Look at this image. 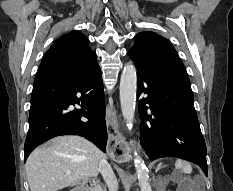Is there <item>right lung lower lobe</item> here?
Returning <instances> with one entry per match:
<instances>
[{
	"label": "right lung lower lobe",
	"instance_id": "right-lung-lower-lobe-1",
	"mask_svg": "<svg viewBox=\"0 0 233 191\" xmlns=\"http://www.w3.org/2000/svg\"><path fill=\"white\" fill-rule=\"evenodd\" d=\"M75 104L81 109L69 110ZM83 117L88 121L81 120ZM60 135L83 136L106 152L105 101L98 64L80 77L34 81L24 161L38 145Z\"/></svg>",
	"mask_w": 233,
	"mask_h": 191
}]
</instances>
